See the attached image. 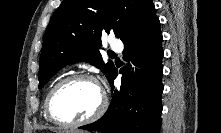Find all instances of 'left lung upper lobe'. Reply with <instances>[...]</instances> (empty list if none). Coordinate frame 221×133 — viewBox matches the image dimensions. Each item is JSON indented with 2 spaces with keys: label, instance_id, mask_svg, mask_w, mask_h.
<instances>
[{
  "label": "left lung upper lobe",
  "instance_id": "5c2ea615",
  "mask_svg": "<svg viewBox=\"0 0 221 133\" xmlns=\"http://www.w3.org/2000/svg\"><path fill=\"white\" fill-rule=\"evenodd\" d=\"M156 19L152 0H64L44 35L39 88L60 68L80 61L98 67L109 79L115 66L102 60V34L113 32L124 43Z\"/></svg>",
  "mask_w": 221,
  "mask_h": 133
}]
</instances>
